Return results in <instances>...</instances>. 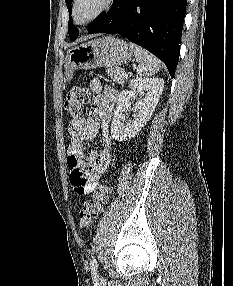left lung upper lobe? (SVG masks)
Here are the masks:
<instances>
[{
  "instance_id": "5c2ea615",
  "label": "left lung upper lobe",
  "mask_w": 233,
  "mask_h": 286,
  "mask_svg": "<svg viewBox=\"0 0 233 286\" xmlns=\"http://www.w3.org/2000/svg\"><path fill=\"white\" fill-rule=\"evenodd\" d=\"M66 1V5H67V8H68V11H69V14L71 15V10H72V1L73 0H65ZM68 32H69V37L72 41H74L77 37H78V34H79V31L78 29L73 25L72 23V19H70L69 21V29H68Z\"/></svg>"
}]
</instances>
